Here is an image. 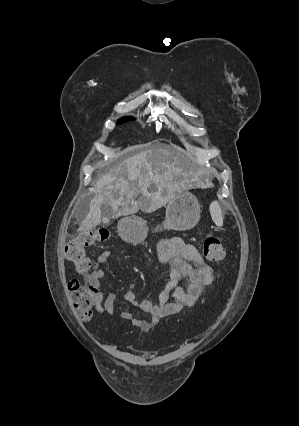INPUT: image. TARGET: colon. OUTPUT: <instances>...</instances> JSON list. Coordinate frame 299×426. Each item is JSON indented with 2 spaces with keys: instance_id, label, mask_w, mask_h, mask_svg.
<instances>
[{
  "instance_id": "colon-1",
  "label": "colon",
  "mask_w": 299,
  "mask_h": 426,
  "mask_svg": "<svg viewBox=\"0 0 299 426\" xmlns=\"http://www.w3.org/2000/svg\"><path fill=\"white\" fill-rule=\"evenodd\" d=\"M108 229L84 231L73 237L66 247V257L71 261L77 272L87 274L93 271V262L87 255V249L97 242L109 238ZM205 257L212 262H219L225 257V249L220 240L213 235L208 236L203 243ZM70 296L75 309L83 320L91 317V309L95 297V290L74 279L68 285ZM173 301L183 302L187 297V289L179 286L171 294Z\"/></svg>"
}]
</instances>
